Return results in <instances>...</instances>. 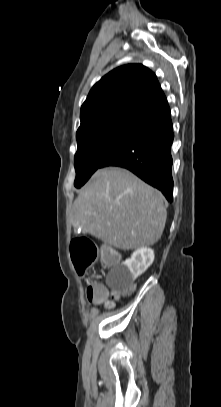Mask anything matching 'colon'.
<instances>
[{"mask_svg":"<svg viewBox=\"0 0 221 407\" xmlns=\"http://www.w3.org/2000/svg\"><path fill=\"white\" fill-rule=\"evenodd\" d=\"M103 265L104 268L113 266V261H121L122 254L119 252L118 246H106L103 248ZM71 256L77 271L83 274L85 270L93 265L98 258L97 246L89 239L78 237L73 239L71 243ZM133 291H108V289L100 284H94L88 287L87 297L89 301L94 303H102L110 297L113 300L125 298Z\"/></svg>","mask_w":221,"mask_h":407,"instance_id":"5ec220e1","label":"colon"}]
</instances>
